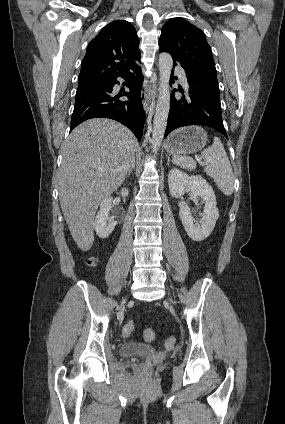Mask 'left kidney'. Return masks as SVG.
Returning <instances> with one entry per match:
<instances>
[{
	"label": "left kidney",
	"instance_id": "5707ae66",
	"mask_svg": "<svg viewBox=\"0 0 285 424\" xmlns=\"http://www.w3.org/2000/svg\"><path fill=\"white\" fill-rule=\"evenodd\" d=\"M168 185L172 197L178 198L190 191L194 198L200 197L203 200L205 206L203 212L200 213L201 219L196 223L193 221L189 206L183 201L178 203L179 216L187 235L194 241H203L212 233L219 217L216 196L212 187L201 176H189L177 168L170 170Z\"/></svg>",
	"mask_w": 285,
	"mask_h": 424
}]
</instances>
